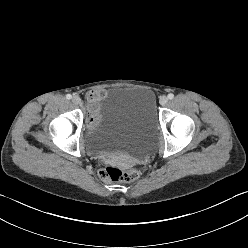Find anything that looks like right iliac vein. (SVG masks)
<instances>
[{
	"instance_id": "1",
	"label": "right iliac vein",
	"mask_w": 248,
	"mask_h": 248,
	"mask_svg": "<svg viewBox=\"0 0 248 248\" xmlns=\"http://www.w3.org/2000/svg\"><path fill=\"white\" fill-rule=\"evenodd\" d=\"M72 102L76 105H79V104H81V98L79 96L75 95L72 97Z\"/></svg>"
}]
</instances>
